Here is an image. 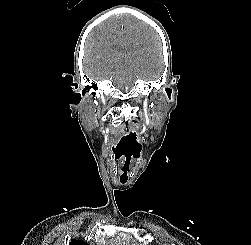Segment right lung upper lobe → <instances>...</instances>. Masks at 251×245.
<instances>
[{"label":"right lung upper lobe","mask_w":251,"mask_h":245,"mask_svg":"<svg viewBox=\"0 0 251 245\" xmlns=\"http://www.w3.org/2000/svg\"><path fill=\"white\" fill-rule=\"evenodd\" d=\"M69 245H88V244L82 240H71Z\"/></svg>","instance_id":"cb5924a9"}]
</instances>
